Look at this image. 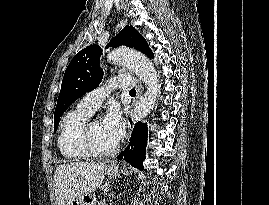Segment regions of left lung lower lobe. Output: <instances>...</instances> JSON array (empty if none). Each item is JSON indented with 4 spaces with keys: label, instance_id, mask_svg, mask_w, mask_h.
I'll use <instances>...</instances> for the list:
<instances>
[{
    "label": "left lung lower lobe",
    "instance_id": "obj_1",
    "mask_svg": "<svg viewBox=\"0 0 269 205\" xmlns=\"http://www.w3.org/2000/svg\"><path fill=\"white\" fill-rule=\"evenodd\" d=\"M147 145V125L145 123H136L131 141L124 152L117 156V159H123L133 167L143 170V161L145 160V151Z\"/></svg>",
    "mask_w": 269,
    "mask_h": 205
}]
</instances>
